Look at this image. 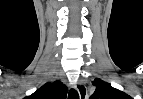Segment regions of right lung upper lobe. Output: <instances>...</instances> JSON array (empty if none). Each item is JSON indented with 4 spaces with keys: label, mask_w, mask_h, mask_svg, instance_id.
<instances>
[{
    "label": "right lung upper lobe",
    "mask_w": 143,
    "mask_h": 99,
    "mask_svg": "<svg viewBox=\"0 0 143 99\" xmlns=\"http://www.w3.org/2000/svg\"><path fill=\"white\" fill-rule=\"evenodd\" d=\"M68 88L60 81L46 83L25 99H65Z\"/></svg>",
    "instance_id": "obj_1"
}]
</instances>
